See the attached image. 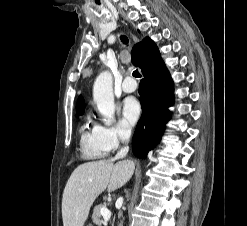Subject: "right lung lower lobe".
I'll list each match as a JSON object with an SVG mask.
<instances>
[{"label":"right lung lower lobe","instance_id":"98d812e1","mask_svg":"<svg viewBox=\"0 0 247 226\" xmlns=\"http://www.w3.org/2000/svg\"><path fill=\"white\" fill-rule=\"evenodd\" d=\"M150 51V59L142 70L144 79L139 86L143 113L132 141L133 153L142 159L159 142L171 116L168 107L174 101L173 82L157 46Z\"/></svg>","mask_w":247,"mask_h":226}]
</instances>
